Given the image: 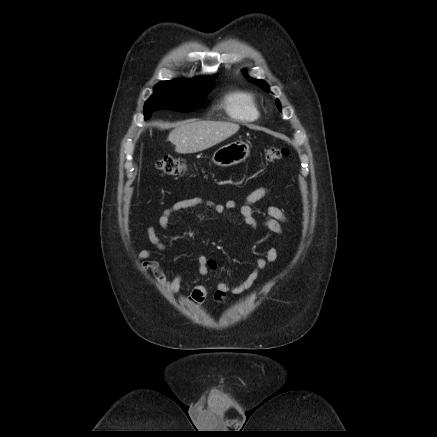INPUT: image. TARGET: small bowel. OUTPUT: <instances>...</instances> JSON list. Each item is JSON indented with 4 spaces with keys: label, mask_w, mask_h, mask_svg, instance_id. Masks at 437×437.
<instances>
[{
    "label": "small bowel",
    "mask_w": 437,
    "mask_h": 437,
    "mask_svg": "<svg viewBox=\"0 0 437 437\" xmlns=\"http://www.w3.org/2000/svg\"><path fill=\"white\" fill-rule=\"evenodd\" d=\"M269 193L267 187H259L253 190L245 199L242 205L234 200H228L225 203H217L211 200H206L201 197H192L174 203L172 206L166 208L158 218L159 226L166 230L170 226V218L172 214L194 207H206L212 210L215 214L221 215L227 210H236L241 215L245 224L251 228L263 227L272 233L281 234L283 231V224L286 222L284 212L276 207L269 206L265 209V218L257 219L258 211L254 208V204L262 200ZM149 242L158 250H164L165 244L162 242L157 230L154 226H149L146 230ZM153 252L149 249L141 250L138 254L139 260L142 262L144 270L151 271L156 282L166 288L171 293H177L182 287V276L176 275L169 279L165 274L161 264L152 259ZM278 258V251L271 247L268 248L263 256H259L254 261V267L248 274L245 280L238 285H232L227 282H219L214 298L218 302H222L227 293L235 295L242 294L252 287L254 282L258 279L260 272L263 271L269 264L275 262ZM197 269L201 276H206L209 270L215 269V263L209 260L204 255H199L197 258ZM207 290L204 285L195 286L189 294L188 300L193 305L201 304L206 298Z\"/></svg>",
    "instance_id": "c3829d8e"
}]
</instances>
